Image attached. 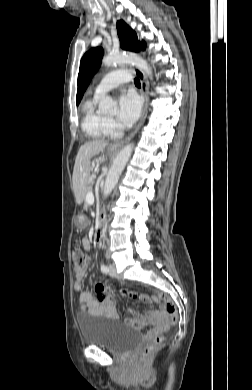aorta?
I'll return each mask as SVG.
<instances>
[{
    "label": "aorta",
    "mask_w": 252,
    "mask_h": 390,
    "mask_svg": "<svg viewBox=\"0 0 252 390\" xmlns=\"http://www.w3.org/2000/svg\"><path fill=\"white\" fill-rule=\"evenodd\" d=\"M103 65L105 66H113L115 64H132L136 66L138 69L143 71L148 76H152L151 68L149 67L146 60L142 57L127 53V54H109L102 60ZM117 103L110 96H103L99 101V109L103 112L116 110ZM134 144L130 143L126 145L116 156L113 161V164L106 176L103 195L104 198L108 197L112 192L114 187L116 186L119 176L124 170L126 163L131 157L133 151Z\"/></svg>",
    "instance_id": "762f6f07"
}]
</instances>
